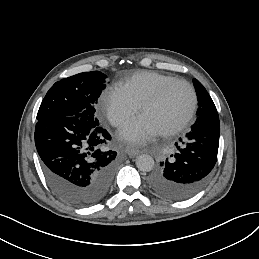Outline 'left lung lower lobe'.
<instances>
[{"label": "left lung lower lobe", "mask_w": 259, "mask_h": 259, "mask_svg": "<svg viewBox=\"0 0 259 259\" xmlns=\"http://www.w3.org/2000/svg\"><path fill=\"white\" fill-rule=\"evenodd\" d=\"M220 122L218 113L199 116L186 134L178 151L160 163V168L148 179L151 189L160 196L180 201L199 192L215 166L219 146Z\"/></svg>", "instance_id": "0a47b994"}]
</instances>
